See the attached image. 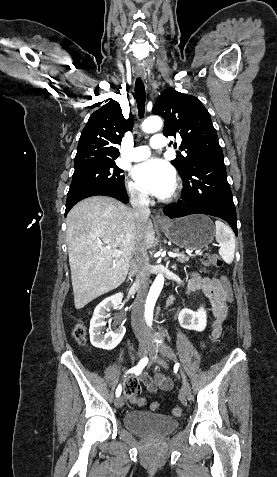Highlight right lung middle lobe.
Listing matches in <instances>:
<instances>
[{
  "instance_id": "dd1d6c3e",
  "label": "right lung middle lobe",
  "mask_w": 277,
  "mask_h": 477,
  "mask_svg": "<svg viewBox=\"0 0 277 477\" xmlns=\"http://www.w3.org/2000/svg\"><path fill=\"white\" fill-rule=\"evenodd\" d=\"M114 161L90 163L75 167L66 205L96 189L124 190V175Z\"/></svg>"
}]
</instances>
